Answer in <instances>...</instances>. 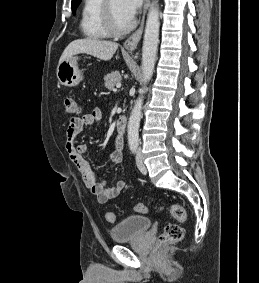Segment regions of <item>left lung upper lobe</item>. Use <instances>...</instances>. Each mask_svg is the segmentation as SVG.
Wrapping results in <instances>:
<instances>
[{
    "mask_svg": "<svg viewBox=\"0 0 259 283\" xmlns=\"http://www.w3.org/2000/svg\"><path fill=\"white\" fill-rule=\"evenodd\" d=\"M80 2H81V0H72V11H73V14L75 13V10L78 7Z\"/></svg>",
    "mask_w": 259,
    "mask_h": 283,
    "instance_id": "5c2ea615",
    "label": "left lung upper lobe"
}]
</instances>
